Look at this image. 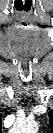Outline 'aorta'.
Masks as SVG:
<instances>
[{
  "label": "aorta",
  "instance_id": "1",
  "mask_svg": "<svg viewBox=\"0 0 53 133\" xmlns=\"http://www.w3.org/2000/svg\"><path fill=\"white\" fill-rule=\"evenodd\" d=\"M15 128L20 133H34L37 130V124L35 122H21Z\"/></svg>",
  "mask_w": 53,
  "mask_h": 133
}]
</instances>
